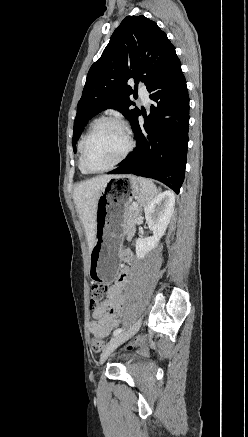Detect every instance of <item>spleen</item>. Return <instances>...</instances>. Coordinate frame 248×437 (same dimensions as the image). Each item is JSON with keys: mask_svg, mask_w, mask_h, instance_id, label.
<instances>
[{"mask_svg": "<svg viewBox=\"0 0 248 437\" xmlns=\"http://www.w3.org/2000/svg\"><path fill=\"white\" fill-rule=\"evenodd\" d=\"M138 181L142 188V194L140 195V203L142 205H147L157 194L156 186L151 180L146 178L139 177Z\"/></svg>", "mask_w": 248, "mask_h": 437, "instance_id": "obj_1", "label": "spleen"}]
</instances>
